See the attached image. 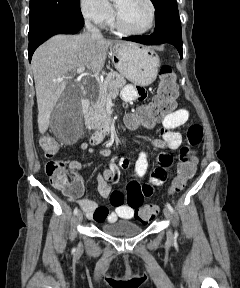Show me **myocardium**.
Wrapping results in <instances>:
<instances>
[{
	"label": "myocardium",
	"instance_id": "f54148a6",
	"mask_svg": "<svg viewBox=\"0 0 240 288\" xmlns=\"http://www.w3.org/2000/svg\"><path fill=\"white\" fill-rule=\"evenodd\" d=\"M147 3L149 4L150 8H151V22L150 25L144 29V30H140V31H135V30H131L129 29L126 24L124 23L118 9L116 8L115 11V24L117 26V28L129 35H144L148 32H150L154 27H155V23H156V7L155 4L153 2V0H146Z\"/></svg>",
	"mask_w": 240,
	"mask_h": 288
}]
</instances>
